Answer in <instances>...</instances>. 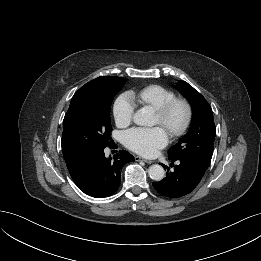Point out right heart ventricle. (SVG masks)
<instances>
[{"instance_id": "right-heart-ventricle-1", "label": "right heart ventricle", "mask_w": 261, "mask_h": 261, "mask_svg": "<svg viewBox=\"0 0 261 261\" xmlns=\"http://www.w3.org/2000/svg\"><path fill=\"white\" fill-rule=\"evenodd\" d=\"M130 96L132 99L139 101L142 105L151 107L155 111L176 98L175 93L171 89L155 84L132 92Z\"/></svg>"}]
</instances>
